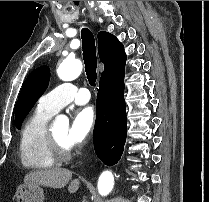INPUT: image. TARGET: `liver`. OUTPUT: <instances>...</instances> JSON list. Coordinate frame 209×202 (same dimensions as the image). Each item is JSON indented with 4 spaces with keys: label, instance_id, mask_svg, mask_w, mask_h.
Instances as JSON below:
<instances>
[{
    "label": "liver",
    "instance_id": "obj_1",
    "mask_svg": "<svg viewBox=\"0 0 209 202\" xmlns=\"http://www.w3.org/2000/svg\"><path fill=\"white\" fill-rule=\"evenodd\" d=\"M72 177V171L63 168H52L33 171L24 177V184L42 185L50 188L60 189L65 187ZM80 185L79 179L71 181L68 191L75 193Z\"/></svg>",
    "mask_w": 209,
    "mask_h": 202
}]
</instances>
